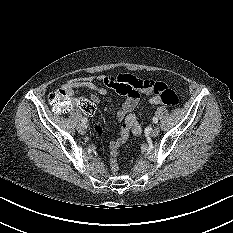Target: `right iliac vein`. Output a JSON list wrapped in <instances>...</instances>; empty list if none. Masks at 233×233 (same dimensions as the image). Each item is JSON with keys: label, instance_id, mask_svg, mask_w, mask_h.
I'll list each match as a JSON object with an SVG mask.
<instances>
[{"label": "right iliac vein", "instance_id": "obj_1", "mask_svg": "<svg viewBox=\"0 0 233 233\" xmlns=\"http://www.w3.org/2000/svg\"><path fill=\"white\" fill-rule=\"evenodd\" d=\"M77 130H78V132H80V133H84L85 130H86V125L83 124V123H80V124L77 126Z\"/></svg>", "mask_w": 233, "mask_h": 233}]
</instances>
